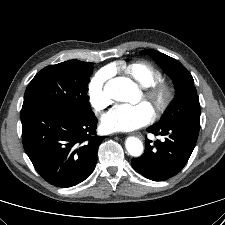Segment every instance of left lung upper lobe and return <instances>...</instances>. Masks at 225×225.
<instances>
[{"label":"left lung upper lobe","instance_id":"5c2ea615","mask_svg":"<svg viewBox=\"0 0 225 225\" xmlns=\"http://www.w3.org/2000/svg\"><path fill=\"white\" fill-rule=\"evenodd\" d=\"M159 64L175 84L176 98L171 110L156 126L176 123L200 125V103L189 71L176 59L153 49L144 50Z\"/></svg>","mask_w":225,"mask_h":225}]
</instances>
